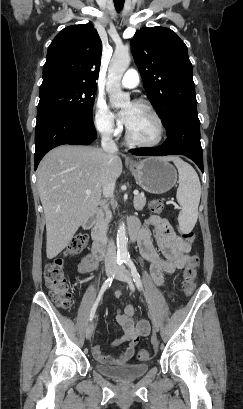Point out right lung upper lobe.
<instances>
[{"instance_id": "1", "label": "right lung upper lobe", "mask_w": 243, "mask_h": 409, "mask_svg": "<svg viewBox=\"0 0 243 409\" xmlns=\"http://www.w3.org/2000/svg\"><path fill=\"white\" fill-rule=\"evenodd\" d=\"M102 42L91 23L60 31L50 44L43 67V80L67 79L96 88Z\"/></svg>"}]
</instances>
